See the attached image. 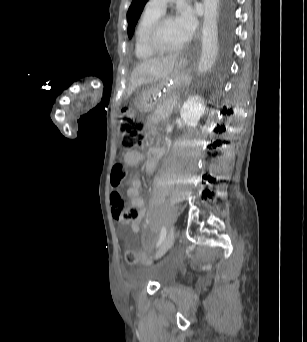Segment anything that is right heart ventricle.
Instances as JSON below:
<instances>
[{
  "label": "right heart ventricle",
  "instance_id": "1",
  "mask_svg": "<svg viewBox=\"0 0 307 342\" xmlns=\"http://www.w3.org/2000/svg\"><path fill=\"white\" fill-rule=\"evenodd\" d=\"M159 16L161 14L150 10L148 7L139 14L134 30V54L138 60L149 61L157 56L147 48L145 38L150 24Z\"/></svg>",
  "mask_w": 307,
  "mask_h": 342
}]
</instances>
